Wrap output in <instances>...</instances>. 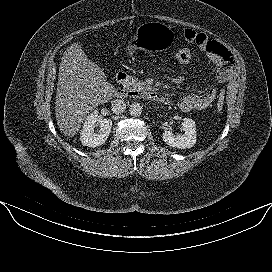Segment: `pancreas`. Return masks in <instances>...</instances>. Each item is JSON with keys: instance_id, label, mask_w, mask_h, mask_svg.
<instances>
[{"instance_id": "obj_1", "label": "pancreas", "mask_w": 272, "mask_h": 272, "mask_svg": "<svg viewBox=\"0 0 272 272\" xmlns=\"http://www.w3.org/2000/svg\"><path fill=\"white\" fill-rule=\"evenodd\" d=\"M143 85L137 78H130V82L126 84V88L129 90H137Z\"/></svg>"}]
</instances>
